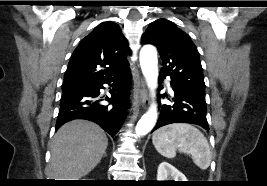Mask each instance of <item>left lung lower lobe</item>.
Instances as JSON below:
<instances>
[{"mask_svg":"<svg viewBox=\"0 0 267 186\" xmlns=\"http://www.w3.org/2000/svg\"><path fill=\"white\" fill-rule=\"evenodd\" d=\"M165 77L166 76L160 74V81ZM170 84L174 91V98H172L174 104L161 106L159 103L160 115L152 132L172 123L196 124L209 130L206 118L207 109L205 95L172 81ZM162 97H164V95H162Z\"/></svg>","mask_w":267,"mask_h":186,"instance_id":"0a47b994","label":"left lung lower lobe"}]
</instances>
